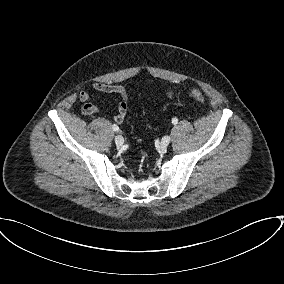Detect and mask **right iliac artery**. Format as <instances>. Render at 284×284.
<instances>
[{"label": "right iliac artery", "mask_w": 284, "mask_h": 284, "mask_svg": "<svg viewBox=\"0 0 284 284\" xmlns=\"http://www.w3.org/2000/svg\"><path fill=\"white\" fill-rule=\"evenodd\" d=\"M112 129H113L115 132H118V131H119V127H118L116 124H113Z\"/></svg>", "instance_id": "82829eb1"}]
</instances>
